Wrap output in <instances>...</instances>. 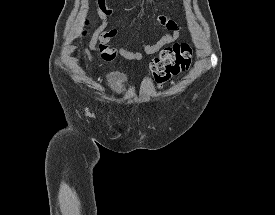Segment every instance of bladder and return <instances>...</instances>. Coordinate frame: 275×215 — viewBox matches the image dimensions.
<instances>
[{
	"mask_svg": "<svg viewBox=\"0 0 275 215\" xmlns=\"http://www.w3.org/2000/svg\"><path fill=\"white\" fill-rule=\"evenodd\" d=\"M106 82L108 86L115 90H124L129 83V78L116 71L106 73Z\"/></svg>",
	"mask_w": 275,
	"mask_h": 215,
	"instance_id": "obj_1",
	"label": "bladder"
}]
</instances>
